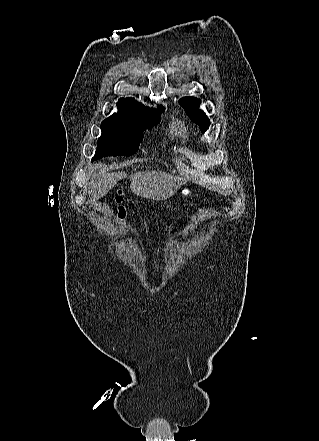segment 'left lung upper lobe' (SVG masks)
<instances>
[{"label":"left lung upper lobe","instance_id":"obj_1","mask_svg":"<svg viewBox=\"0 0 319 441\" xmlns=\"http://www.w3.org/2000/svg\"><path fill=\"white\" fill-rule=\"evenodd\" d=\"M179 103L186 111L190 119L195 122L202 129L204 133L210 125V121L207 116L199 110L200 100L194 97H184Z\"/></svg>","mask_w":319,"mask_h":441}]
</instances>
